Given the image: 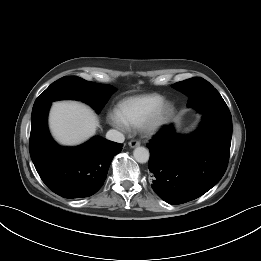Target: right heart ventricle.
I'll return each instance as SVG.
<instances>
[{"label": "right heart ventricle", "mask_w": 261, "mask_h": 261, "mask_svg": "<svg viewBox=\"0 0 261 261\" xmlns=\"http://www.w3.org/2000/svg\"><path fill=\"white\" fill-rule=\"evenodd\" d=\"M162 100L155 93L127 97L117 103L115 113L127 127H137Z\"/></svg>", "instance_id": "e07e8e85"}]
</instances>
